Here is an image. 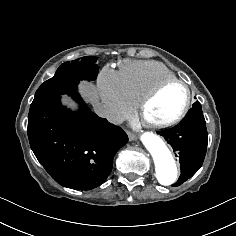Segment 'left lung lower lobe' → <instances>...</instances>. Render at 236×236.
Here are the masks:
<instances>
[{"mask_svg": "<svg viewBox=\"0 0 236 236\" xmlns=\"http://www.w3.org/2000/svg\"><path fill=\"white\" fill-rule=\"evenodd\" d=\"M158 133L172 146L175 156L179 157L181 175L173 185L179 186L200 169L205 158L208 133L201 104L195 102L178 125Z\"/></svg>", "mask_w": 236, "mask_h": 236, "instance_id": "1", "label": "left lung lower lobe"}]
</instances>
